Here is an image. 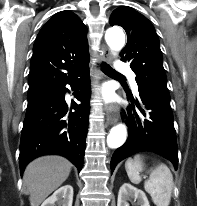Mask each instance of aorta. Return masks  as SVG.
<instances>
[{
  "mask_svg": "<svg viewBox=\"0 0 197 206\" xmlns=\"http://www.w3.org/2000/svg\"><path fill=\"white\" fill-rule=\"evenodd\" d=\"M105 39L112 51H120L125 44V35L120 28H110L106 31ZM127 137V129L123 124L114 126L107 136V145L110 148L122 146Z\"/></svg>",
  "mask_w": 197,
  "mask_h": 206,
  "instance_id": "obj_1",
  "label": "aorta"
}]
</instances>
